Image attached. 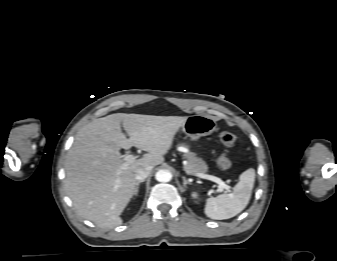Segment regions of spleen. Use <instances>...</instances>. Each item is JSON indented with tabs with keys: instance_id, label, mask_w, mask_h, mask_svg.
<instances>
[{
	"instance_id": "spleen-1",
	"label": "spleen",
	"mask_w": 337,
	"mask_h": 261,
	"mask_svg": "<svg viewBox=\"0 0 337 261\" xmlns=\"http://www.w3.org/2000/svg\"><path fill=\"white\" fill-rule=\"evenodd\" d=\"M255 181V170L249 168L239 176V182L231 194H221L208 198L205 214L215 220L229 219L245 209L248 205Z\"/></svg>"
}]
</instances>
